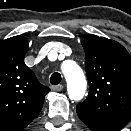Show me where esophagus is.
I'll return each instance as SVG.
<instances>
[{"label":"esophagus","mask_w":131,"mask_h":131,"mask_svg":"<svg viewBox=\"0 0 131 131\" xmlns=\"http://www.w3.org/2000/svg\"><path fill=\"white\" fill-rule=\"evenodd\" d=\"M51 89H52L53 91L59 92V91H62L63 85H61V84H59V85H54V86L51 87Z\"/></svg>","instance_id":"obj_1"}]
</instances>
